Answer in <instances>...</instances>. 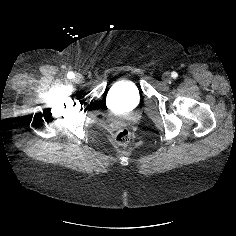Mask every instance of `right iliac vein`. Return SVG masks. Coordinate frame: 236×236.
I'll return each instance as SVG.
<instances>
[{
  "instance_id": "right-iliac-vein-1",
  "label": "right iliac vein",
  "mask_w": 236,
  "mask_h": 236,
  "mask_svg": "<svg viewBox=\"0 0 236 236\" xmlns=\"http://www.w3.org/2000/svg\"><path fill=\"white\" fill-rule=\"evenodd\" d=\"M75 79H76L78 82H81V81H82V76H81V75H76V76H75Z\"/></svg>"
}]
</instances>
